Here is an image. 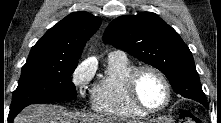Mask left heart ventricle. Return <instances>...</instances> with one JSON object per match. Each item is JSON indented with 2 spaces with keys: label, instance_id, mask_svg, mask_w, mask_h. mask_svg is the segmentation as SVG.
Segmentation results:
<instances>
[{
  "label": "left heart ventricle",
  "instance_id": "left-heart-ventricle-1",
  "mask_svg": "<svg viewBox=\"0 0 221 123\" xmlns=\"http://www.w3.org/2000/svg\"><path fill=\"white\" fill-rule=\"evenodd\" d=\"M138 94L142 102L150 107L161 106L166 98V90L161 79L153 72H143L137 84Z\"/></svg>",
  "mask_w": 221,
  "mask_h": 123
}]
</instances>
